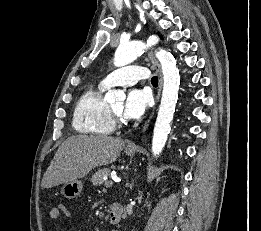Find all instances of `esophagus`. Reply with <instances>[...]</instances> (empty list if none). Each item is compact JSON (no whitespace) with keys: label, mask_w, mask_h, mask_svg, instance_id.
<instances>
[{"label":"esophagus","mask_w":261,"mask_h":231,"mask_svg":"<svg viewBox=\"0 0 261 231\" xmlns=\"http://www.w3.org/2000/svg\"><path fill=\"white\" fill-rule=\"evenodd\" d=\"M149 58L151 59V62L153 64V66L156 68V70L158 71L159 73V89H158V92H157V96H156V102H158L159 100V97H160V92H161V88H162V75H161V71H160V65L159 63L157 62V60L154 58L153 54L151 52H149ZM150 120H151V116L149 117V119L145 122L142 130H141V133H144L146 131V129L148 128L149 126V123H150ZM129 148H135L136 146L134 144H129L128 145Z\"/></svg>","instance_id":"obj_1"}]
</instances>
